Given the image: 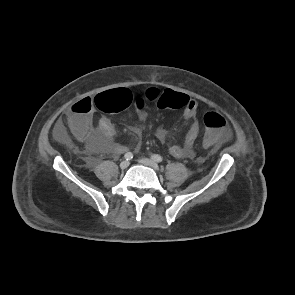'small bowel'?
<instances>
[{"mask_svg":"<svg viewBox=\"0 0 295 295\" xmlns=\"http://www.w3.org/2000/svg\"><path fill=\"white\" fill-rule=\"evenodd\" d=\"M81 101V100H80ZM198 103L196 100L188 97L187 104L183 107V119L188 126L184 139L181 144H174L169 148L170 154L175 158H193L194 143L200 132V122L197 118ZM78 116L77 128H71L76 137L84 142L87 148L93 153H107L119 155L127 151V146L115 142L116 130L109 118L103 116L99 119L96 127L92 124V110L86 114H77L71 107L68 117L69 121L74 116ZM140 119L145 121L147 116L143 111L139 112ZM145 126L135 127L134 131L143 132ZM154 135L161 141L166 138V131L158 126L153 129ZM55 134L59 140L66 141L67 137L61 123L55 127Z\"/></svg>","mask_w":295,"mask_h":295,"instance_id":"small-bowel-1","label":"small bowel"}]
</instances>
